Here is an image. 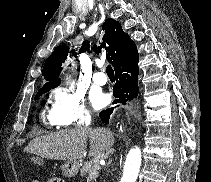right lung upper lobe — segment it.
Returning <instances> with one entry per match:
<instances>
[{"label": "right lung upper lobe", "mask_w": 211, "mask_h": 182, "mask_svg": "<svg viewBox=\"0 0 211 182\" xmlns=\"http://www.w3.org/2000/svg\"><path fill=\"white\" fill-rule=\"evenodd\" d=\"M102 30L105 31V33L100 49H104L106 58L114 67L119 56L123 53L125 45L130 40V37L122 30L120 23L114 19H107L102 26ZM89 47V41H83L80 52H86ZM69 54L76 56V52L72 50V48H69L67 45H60L47 58L43 67V75L49 82H47L37 94L55 88L60 84L61 80L58 76L62 69L61 65Z\"/></svg>", "instance_id": "obj_1"}]
</instances>
